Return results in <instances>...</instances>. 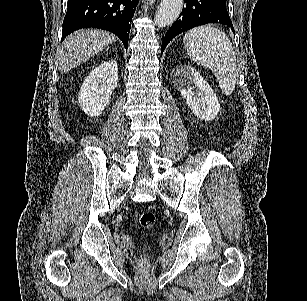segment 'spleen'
<instances>
[{
  "mask_svg": "<svg viewBox=\"0 0 307 301\" xmlns=\"http://www.w3.org/2000/svg\"><path fill=\"white\" fill-rule=\"evenodd\" d=\"M183 42L194 62L211 68L223 94H232L236 84L237 62L232 42L225 32L210 24L195 26L185 32Z\"/></svg>",
  "mask_w": 307,
  "mask_h": 301,
  "instance_id": "obj_1",
  "label": "spleen"
}]
</instances>
